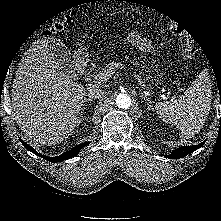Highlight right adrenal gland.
Segmentation results:
<instances>
[{"label":"right adrenal gland","instance_id":"right-adrenal-gland-1","mask_svg":"<svg viewBox=\"0 0 221 221\" xmlns=\"http://www.w3.org/2000/svg\"><path fill=\"white\" fill-rule=\"evenodd\" d=\"M92 101H93V99H91V98H86V97H85V98L83 99V101H82V106H83L82 109H83V110L85 109V107H84V106H85V104H84L85 102H92Z\"/></svg>","mask_w":221,"mask_h":221}]
</instances>
